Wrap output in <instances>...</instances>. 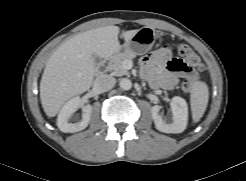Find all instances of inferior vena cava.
Instances as JSON below:
<instances>
[{
  "instance_id": "inferior-vena-cava-1",
  "label": "inferior vena cava",
  "mask_w": 246,
  "mask_h": 181,
  "mask_svg": "<svg viewBox=\"0 0 246 181\" xmlns=\"http://www.w3.org/2000/svg\"><path fill=\"white\" fill-rule=\"evenodd\" d=\"M116 79L107 74L100 75L94 82V88L99 92H105L114 87Z\"/></svg>"
}]
</instances>
